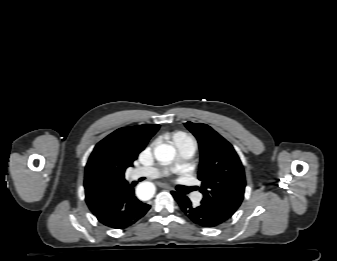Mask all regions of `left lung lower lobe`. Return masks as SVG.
Wrapping results in <instances>:
<instances>
[{
  "label": "left lung lower lobe",
  "mask_w": 337,
  "mask_h": 261,
  "mask_svg": "<svg viewBox=\"0 0 337 261\" xmlns=\"http://www.w3.org/2000/svg\"><path fill=\"white\" fill-rule=\"evenodd\" d=\"M174 199L178 202L183 213L195 224L212 228L217 227L228 220L223 214L219 213L215 209L201 204L197 207L192 206L188 197L181 195L177 192H172Z\"/></svg>",
  "instance_id": "obj_1"
}]
</instances>
